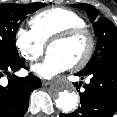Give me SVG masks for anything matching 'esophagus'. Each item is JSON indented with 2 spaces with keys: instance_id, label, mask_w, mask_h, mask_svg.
<instances>
[{
  "instance_id": "obj_1",
  "label": "esophagus",
  "mask_w": 117,
  "mask_h": 117,
  "mask_svg": "<svg viewBox=\"0 0 117 117\" xmlns=\"http://www.w3.org/2000/svg\"><path fill=\"white\" fill-rule=\"evenodd\" d=\"M42 85H43V86H50V85H52V82L47 81V80H43V81H42Z\"/></svg>"
}]
</instances>
